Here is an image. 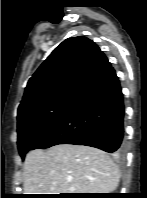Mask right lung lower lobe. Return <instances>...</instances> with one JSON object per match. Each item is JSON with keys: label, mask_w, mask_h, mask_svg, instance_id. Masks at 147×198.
Instances as JSON below:
<instances>
[{"label": "right lung lower lobe", "mask_w": 147, "mask_h": 198, "mask_svg": "<svg viewBox=\"0 0 147 198\" xmlns=\"http://www.w3.org/2000/svg\"><path fill=\"white\" fill-rule=\"evenodd\" d=\"M124 102L120 82L111 67L32 148L57 144L86 145L116 158L124 155Z\"/></svg>", "instance_id": "1"}]
</instances>
